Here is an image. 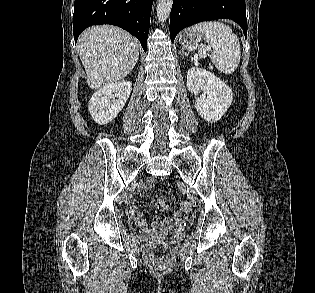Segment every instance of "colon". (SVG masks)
<instances>
[{
	"label": "colon",
	"instance_id": "colon-1",
	"mask_svg": "<svg viewBox=\"0 0 315 293\" xmlns=\"http://www.w3.org/2000/svg\"><path fill=\"white\" fill-rule=\"evenodd\" d=\"M179 211H185V213L188 212L190 206L186 201H180L178 203Z\"/></svg>",
	"mask_w": 315,
	"mask_h": 293
}]
</instances>
